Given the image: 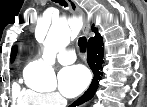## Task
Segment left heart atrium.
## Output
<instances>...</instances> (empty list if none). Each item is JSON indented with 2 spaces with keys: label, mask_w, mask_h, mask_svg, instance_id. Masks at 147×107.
Instances as JSON below:
<instances>
[{
  "label": "left heart atrium",
  "mask_w": 147,
  "mask_h": 107,
  "mask_svg": "<svg viewBox=\"0 0 147 107\" xmlns=\"http://www.w3.org/2000/svg\"><path fill=\"white\" fill-rule=\"evenodd\" d=\"M89 72L81 65L62 69L58 75V86L61 94L71 98L79 95L88 85Z\"/></svg>",
  "instance_id": "39dd6f15"
}]
</instances>
